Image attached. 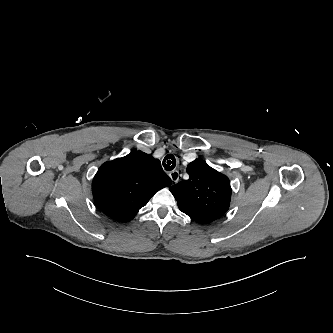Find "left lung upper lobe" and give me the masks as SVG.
<instances>
[{"mask_svg":"<svg viewBox=\"0 0 333 333\" xmlns=\"http://www.w3.org/2000/svg\"><path fill=\"white\" fill-rule=\"evenodd\" d=\"M186 171L190 178L170 188L179 209L224 213L229 209L231 187L227 176L211 168L202 159L191 162Z\"/></svg>","mask_w":333,"mask_h":333,"instance_id":"1","label":"left lung upper lobe"}]
</instances>
